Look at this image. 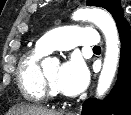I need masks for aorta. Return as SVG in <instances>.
I'll return each instance as SVG.
<instances>
[{
    "mask_svg": "<svg viewBox=\"0 0 131 115\" xmlns=\"http://www.w3.org/2000/svg\"><path fill=\"white\" fill-rule=\"evenodd\" d=\"M74 20H90L103 32L106 40V53L97 85V96L102 97L110 88L119 60V36L111 15L98 8H85L73 14Z\"/></svg>",
    "mask_w": 131,
    "mask_h": 115,
    "instance_id": "1",
    "label": "aorta"
}]
</instances>
